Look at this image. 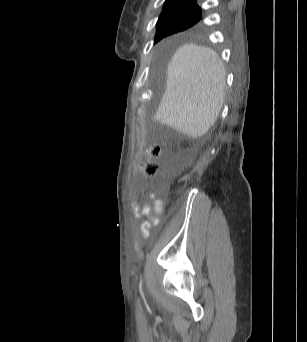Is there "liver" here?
<instances>
[{
    "label": "liver",
    "instance_id": "obj_1",
    "mask_svg": "<svg viewBox=\"0 0 307 342\" xmlns=\"http://www.w3.org/2000/svg\"><path fill=\"white\" fill-rule=\"evenodd\" d=\"M225 68L211 48L184 44L167 66L166 90L154 120L189 138L214 126L225 100Z\"/></svg>",
    "mask_w": 307,
    "mask_h": 342
}]
</instances>
